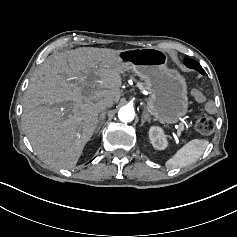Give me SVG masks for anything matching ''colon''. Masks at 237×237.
Returning a JSON list of instances; mask_svg holds the SVG:
<instances>
[{
	"label": "colon",
	"instance_id": "obj_1",
	"mask_svg": "<svg viewBox=\"0 0 237 237\" xmlns=\"http://www.w3.org/2000/svg\"><path fill=\"white\" fill-rule=\"evenodd\" d=\"M193 95L198 101L205 102V107L208 111L215 109V103L212 101H206L203 94L199 90H193ZM195 128L203 135L211 134L215 128V120L210 116L201 115L195 122Z\"/></svg>",
	"mask_w": 237,
	"mask_h": 237
}]
</instances>
